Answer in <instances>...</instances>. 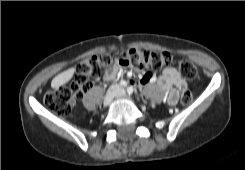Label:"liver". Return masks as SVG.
<instances>
[{"label": "liver", "instance_id": "obj_1", "mask_svg": "<svg viewBox=\"0 0 245 170\" xmlns=\"http://www.w3.org/2000/svg\"><path fill=\"white\" fill-rule=\"evenodd\" d=\"M75 71H76L75 68H70V69L58 74L57 76H55L53 78V80L51 82V87L56 89V88L63 86L68 81H70V79L73 77Z\"/></svg>", "mask_w": 245, "mask_h": 170}]
</instances>
